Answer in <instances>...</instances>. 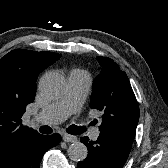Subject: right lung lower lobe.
<instances>
[{"label": "right lung lower lobe", "instance_id": "obj_1", "mask_svg": "<svg viewBox=\"0 0 168 168\" xmlns=\"http://www.w3.org/2000/svg\"><path fill=\"white\" fill-rule=\"evenodd\" d=\"M60 141L59 134L30 136L14 148L1 168H39L44 153Z\"/></svg>", "mask_w": 168, "mask_h": 168}]
</instances>
